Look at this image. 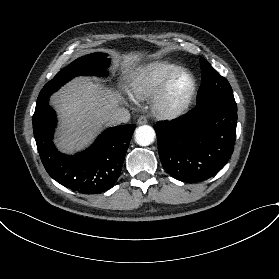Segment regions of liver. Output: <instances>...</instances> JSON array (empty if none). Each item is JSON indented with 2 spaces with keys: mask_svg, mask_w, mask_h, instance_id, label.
<instances>
[{
  "mask_svg": "<svg viewBox=\"0 0 279 279\" xmlns=\"http://www.w3.org/2000/svg\"><path fill=\"white\" fill-rule=\"evenodd\" d=\"M119 63L120 59H117L116 64ZM52 103L61 113L59 146L71 152L89 143L104 123L109 124V114L118 100L101 88L99 82L81 78L56 93Z\"/></svg>",
  "mask_w": 279,
  "mask_h": 279,
  "instance_id": "1",
  "label": "liver"
}]
</instances>
